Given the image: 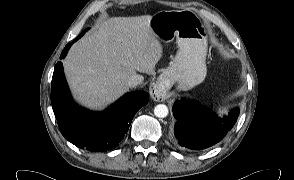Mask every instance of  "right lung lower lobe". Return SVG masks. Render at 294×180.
<instances>
[{
	"label": "right lung lower lobe",
	"instance_id": "98d812e1",
	"mask_svg": "<svg viewBox=\"0 0 294 180\" xmlns=\"http://www.w3.org/2000/svg\"><path fill=\"white\" fill-rule=\"evenodd\" d=\"M72 43L65 46L60 59L66 56ZM148 100L149 94L146 92H130L103 112L88 111L77 106L72 100L62 62L59 61L55 65L51 85L53 111L63 136L79 148L98 152L115 148L128 131L136 112L146 105Z\"/></svg>",
	"mask_w": 294,
	"mask_h": 180
}]
</instances>
